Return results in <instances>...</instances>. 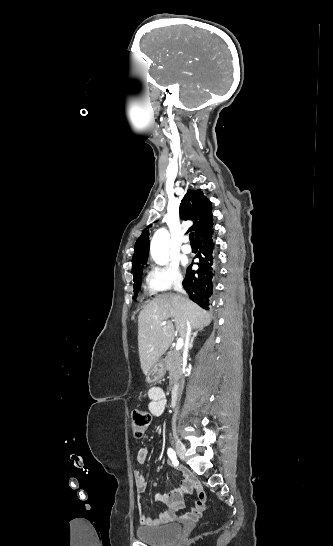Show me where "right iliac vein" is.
Returning <instances> with one entry per match:
<instances>
[{"label":"right iliac vein","mask_w":333,"mask_h":546,"mask_svg":"<svg viewBox=\"0 0 333 546\" xmlns=\"http://www.w3.org/2000/svg\"><path fill=\"white\" fill-rule=\"evenodd\" d=\"M174 444H175V450H176L178 456L181 459H184L185 455H186V448H185L184 444L178 438L174 439Z\"/></svg>","instance_id":"right-iliac-vein-1"}]
</instances>
